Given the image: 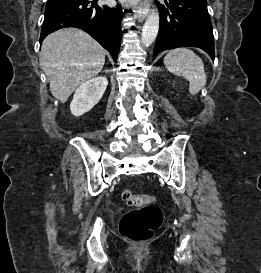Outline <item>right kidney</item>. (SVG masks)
Listing matches in <instances>:
<instances>
[{
	"instance_id": "obj_1",
	"label": "right kidney",
	"mask_w": 261,
	"mask_h": 273,
	"mask_svg": "<svg viewBox=\"0 0 261 273\" xmlns=\"http://www.w3.org/2000/svg\"><path fill=\"white\" fill-rule=\"evenodd\" d=\"M107 85L108 81L103 76L95 77L80 85L70 104L71 113L74 116H81L90 111L102 98Z\"/></svg>"
}]
</instances>
